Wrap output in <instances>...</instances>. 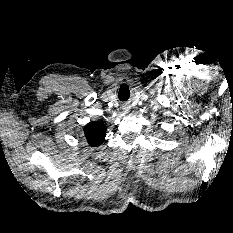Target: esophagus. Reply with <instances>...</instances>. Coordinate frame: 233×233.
<instances>
[{"label": "esophagus", "mask_w": 233, "mask_h": 233, "mask_svg": "<svg viewBox=\"0 0 233 233\" xmlns=\"http://www.w3.org/2000/svg\"><path fill=\"white\" fill-rule=\"evenodd\" d=\"M123 109H124L125 112L128 111V107L127 106H125Z\"/></svg>", "instance_id": "obj_1"}]
</instances>
